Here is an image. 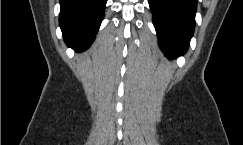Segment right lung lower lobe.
<instances>
[{"label": "right lung lower lobe", "instance_id": "right-lung-lower-lobe-1", "mask_svg": "<svg viewBox=\"0 0 243 145\" xmlns=\"http://www.w3.org/2000/svg\"><path fill=\"white\" fill-rule=\"evenodd\" d=\"M107 0H60L59 25L68 47L82 51L95 38Z\"/></svg>", "mask_w": 243, "mask_h": 145}]
</instances>
